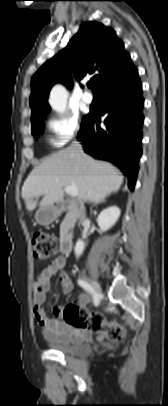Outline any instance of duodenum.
Returning <instances> with one entry per match:
<instances>
[{
	"label": "duodenum",
	"instance_id": "duodenum-1",
	"mask_svg": "<svg viewBox=\"0 0 168 406\" xmlns=\"http://www.w3.org/2000/svg\"><path fill=\"white\" fill-rule=\"evenodd\" d=\"M53 208L56 213L67 212L71 215L70 222L77 218L81 211L72 201L59 200L53 203ZM73 247V235L70 229L66 230L60 240V248L64 255H69Z\"/></svg>",
	"mask_w": 168,
	"mask_h": 406
}]
</instances>
